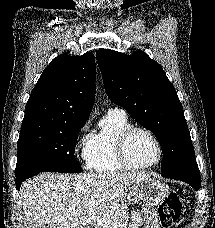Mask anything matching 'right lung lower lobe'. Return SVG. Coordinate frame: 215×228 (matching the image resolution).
I'll use <instances>...</instances> for the list:
<instances>
[{"mask_svg":"<svg viewBox=\"0 0 215 228\" xmlns=\"http://www.w3.org/2000/svg\"><path fill=\"white\" fill-rule=\"evenodd\" d=\"M39 173H41V172H35V173H29V174H23V175L17 176L16 177V189L19 190V188L24 180H26L34 175H37Z\"/></svg>","mask_w":215,"mask_h":228,"instance_id":"right-lung-lower-lobe-1","label":"right lung lower lobe"}]
</instances>
